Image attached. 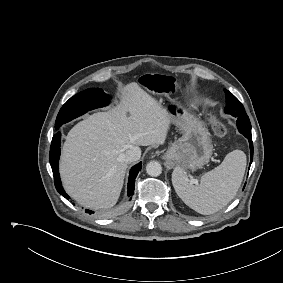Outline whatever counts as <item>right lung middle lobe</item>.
<instances>
[{
    "label": "right lung middle lobe",
    "mask_w": 283,
    "mask_h": 283,
    "mask_svg": "<svg viewBox=\"0 0 283 283\" xmlns=\"http://www.w3.org/2000/svg\"><path fill=\"white\" fill-rule=\"evenodd\" d=\"M110 96L100 88L84 90L70 98L60 109L55 122L58 130L64 123L86 113L89 110L109 104Z\"/></svg>",
    "instance_id": "obj_1"
}]
</instances>
